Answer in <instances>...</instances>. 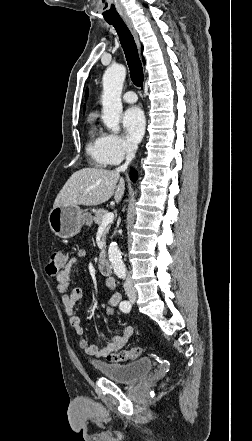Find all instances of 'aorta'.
I'll return each instance as SVG.
<instances>
[{"label": "aorta", "instance_id": "1", "mask_svg": "<svg viewBox=\"0 0 252 441\" xmlns=\"http://www.w3.org/2000/svg\"><path fill=\"white\" fill-rule=\"evenodd\" d=\"M125 77L126 68L123 65L110 66L103 75L102 120L113 132L120 130L119 123L123 110L121 94ZM108 256L116 275L125 276L126 267L116 242L110 244Z\"/></svg>", "mask_w": 252, "mask_h": 441}]
</instances>
